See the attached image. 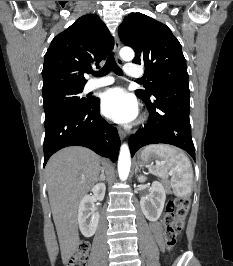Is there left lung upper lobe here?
Here are the masks:
<instances>
[{"label": "left lung upper lobe", "instance_id": "left-lung-upper-lobe-1", "mask_svg": "<svg viewBox=\"0 0 233 266\" xmlns=\"http://www.w3.org/2000/svg\"><path fill=\"white\" fill-rule=\"evenodd\" d=\"M118 33L123 44L135 51L132 62L145 66L146 90H136L138 96L151 98L168 87L189 86L181 45L165 24L142 13H131Z\"/></svg>", "mask_w": 233, "mask_h": 266}]
</instances>
